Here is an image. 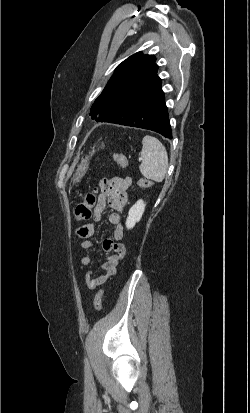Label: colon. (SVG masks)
<instances>
[{
    "instance_id": "5ec220e1",
    "label": "colon",
    "mask_w": 250,
    "mask_h": 413,
    "mask_svg": "<svg viewBox=\"0 0 250 413\" xmlns=\"http://www.w3.org/2000/svg\"><path fill=\"white\" fill-rule=\"evenodd\" d=\"M113 160L122 167L129 165L128 159L122 154L113 155ZM153 180L140 179L138 185L142 188L153 185ZM98 201V189L95 187L92 191L85 194L83 200L75 208V218L79 221L87 220L92 216V210L96 206ZM103 290H99L94 297V307L100 311L102 309Z\"/></svg>"
}]
</instances>
